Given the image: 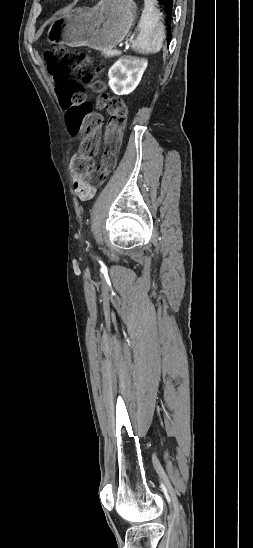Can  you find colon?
I'll list each match as a JSON object with an SVG mask.
<instances>
[{"mask_svg":"<svg viewBox=\"0 0 253 548\" xmlns=\"http://www.w3.org/2000/svg\"><path fill=\"white\" fill-rule=\"evenodd\" d=\"M46 61L60 106L66 112L70 131L83 135L78 153L72 160L73 172L83 176L88 184L101 186L116 166L126 125V105L121 98L107 94L104 84L95 80L101 64L84 52L56 46L46 53ZM69 72H74L98 94L96 107L105 110L109 116L104 130V152L98 165H95L94 158L98 152L103 118L85 100L84 86L76 83Z\"/></svg>","mask_w":253,"mask_h":548,"instance_id":"5ec220e1","label":"colon"}]
</instances>
